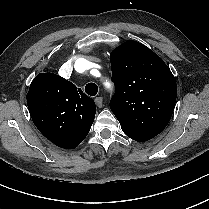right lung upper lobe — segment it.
Instances as JSON below:
<instances>
[{
	"instance_id": "cb5924a9",
	"label": "right lung upper lobe",
	"mask_w": 209,
	"mask_h": 209,
	"mask_svg": "<svg viewBox=\"0 0 209 209\" xmlns=\"http://www.w3.org/2000/svg\"><path fill=\"white\" fill-rule=\"evenodd\" d=\"M27 105L38 130L55 145L72 149L87 136L95 118L94 101L70 81L40 73L27 93Z\"/></svg>"
}]
</instances>
